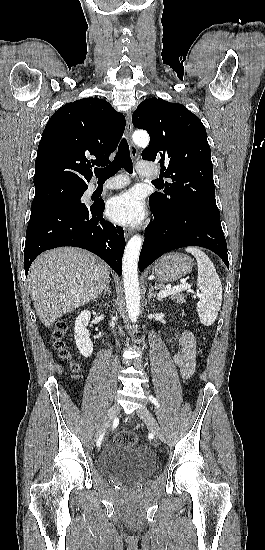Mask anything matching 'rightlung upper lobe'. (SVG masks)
<instances>
[{
  "label": "right lung upper lobe",
  "instance_id": "cb5924a9",
  "mask_svg": "<svg viewBox=\"0 0 265 550\" xmlns=\"http://www.w3.org/2000/svg\"><path fill=\"white\" fill-rule=\"evenodd\" d=\"M125 129V118L107 101L67 103L48 121L35 160V188L63 185L87 189L91 168L105 166Z\"/></svg>",
  "mask_w": 265,
  "mask_h": 550
}]
</instances>
